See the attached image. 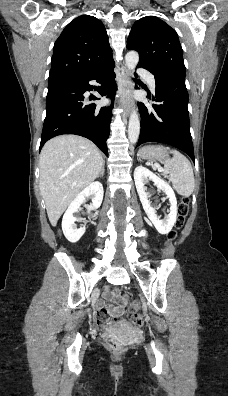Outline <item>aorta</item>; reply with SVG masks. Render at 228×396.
<instances>
[{"label":"aorta","mask_w":228,"mask_h":396,"mask_svg":"<svg viewBox=\"0 0 228 396\" xmlns=\"http://www.w3.org/2000/svg\"><path fill=\"white\" fill-rule=\"evenodd\" d=\"M139 62V54L136 51H129L125 56V63L130 71H134ZM140 133V122L137 109L133 108L128 126V138L130 143L135 144L138 141Z\"/></svg>","instance_id":"762f6f07"}]
</instances>
